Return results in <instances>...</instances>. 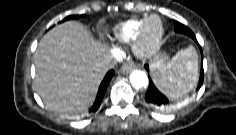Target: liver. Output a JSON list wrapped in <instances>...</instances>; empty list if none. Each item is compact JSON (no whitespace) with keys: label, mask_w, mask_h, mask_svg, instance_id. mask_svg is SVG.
Masks as SVG:
<instances>
[{"label":"liver","mask_w":236,"mask_h":135,"mask_svg":"<svg viewBox=\"0 0 236 135\" xmlns=\"http://www.w3.org/2000/svg\"><path fill=\"white\" fill-rule=\"evenodd\" d=\"M109 57L107 46L80 23L59 24L44 35L34 54L36 91L56 113L82 112L95 98Z\"/></svg>","instance_id":"6515ba94"}]
</instances>
